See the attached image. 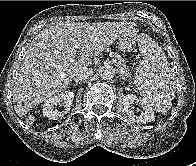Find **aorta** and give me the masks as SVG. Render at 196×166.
<instances>
[{
	"label": "aorta",
	"instance_id": "obj_1",
	"mask_svg": "<svg viewBox=\"0 0 196 166\" xmlns=\"http://www.w3.org/2000/svg\"><path fill=\"white\" fill-rule=\"evenodd\" d=\"M99 75L103 80H111L115 75V69L110 64H105L99 69Z\"/></svg>",
	"mask_w": 196,
	"mask_h": 166
}]
</instances>
